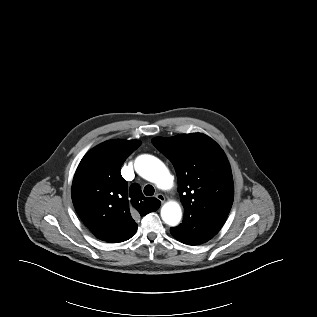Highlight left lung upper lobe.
I'll list each match as a JSON object with an SVG mask.
<instances>
[{
  "label": "left lung upper lobe",
  "mask_w": 317,
  "mask_h": 317,
  "mask_svg": "<svg viewBox=\"0 0 317 317\" xmlns=\"http://www.w3.org/2000/svg\"><path fill=\"white\" fill-rule=\"evenodd\" d=\"M173 164L184 206L185 225L197 217L226 220L234 187L231 168L220 146L201 133L152 140Z\"/></svg>",
  "instance_id": "5c2ea615"
}]
</instances>
